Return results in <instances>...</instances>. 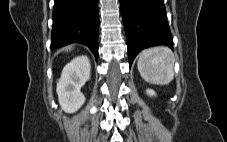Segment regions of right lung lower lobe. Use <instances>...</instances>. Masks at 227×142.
Segmentation results:
<instances>
[{"label": "right lung lower lobe", "mask_w": 227, "mask_h": 142, "mask_svg": "<svg viewBox=\"0 0 227 142\" xmlns=\"http://www.w3.org/2000/svg\"><path fill=\"white\" fill-rule=\"evenodd\" d=\"M98 0H54L51 49L82 43L98 58Z\"/></svg>", "instance_id": "98d812e1"}]
</instances>
